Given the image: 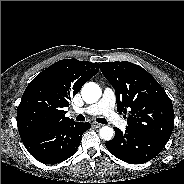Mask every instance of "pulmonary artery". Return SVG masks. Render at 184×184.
<instances>
[{"mask_svg":"<svg viewBox=\"0 0 184 184\" xmlns=\"http://www.w3.org/2000/svg\"><path fill=\"white\" fill-rule=\"evenodd\" d=\"M116 97L111 88H106L103 92L101 99L88 107L77 108L75 111L79 114L103 115L109 122L120 129H125L127 126L126 121L119 116L115 110Z\"/></svg>","mask_w":184,"mask_h":184,"instance_id":"e3ab8cb5","label":"pulmonary artery"}]
</instances>
